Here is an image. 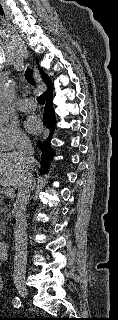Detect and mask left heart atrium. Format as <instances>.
<instances>
[{"label":"left heart atrium","mask_w":118,"mask_h":320,"mask_svg":"<svg viewBox=\"0 0 118 320\" xmlns=\"http://www.w3.org/2000/svg\"><path fill=\"white\" fill-rule=\"evenodd\" d=\"M25 127L31 133H38L42 129V124L37 116L31 115L26 119Z\"/></svg>","instance_id":"left-heart-atrium-1"}]
</instances>
